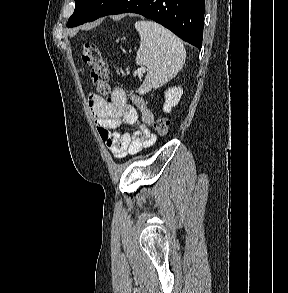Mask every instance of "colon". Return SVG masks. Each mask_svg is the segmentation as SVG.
Returning <instances> with one entry per match:
<instances>
[{
    "mask_svg": "<svg viewBox=\"0 0 288 293\" xmlns=\"http://www.w3.org/2000/svg\"><path fill=\"white\" fill-rule=\"evenodd\" d=\"M82 60L91 66V79L102 96H108L110 92L108 66L99 47L91 42L82 44ZM154 129L161 137H165L169 131V121L166 118H158L154 123Z\"/></svg>",
    "mask_w": 288,
    "mask_h": 293,
    "instance_id": "obj_1",
    "label": "colon"
}]
</instances>
